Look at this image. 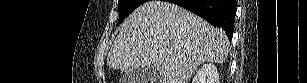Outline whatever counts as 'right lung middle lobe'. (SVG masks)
I'll use <instances>...</instances> for the list:
<instances>
[{
  "mask_svg": "<svg viewBox=\"0 0 307 83\" xmlns=\"http://www.w3.org/2000/svg\"><path fill=\"white\" fill-rule=\"evenodd\" d=\"M147 0H119L118 10L120 13L118 23L122 22L134 9L145 3Z\"/></svg>",
  "mask_w": 307,
  "mask_h": 83,
  "instance_id": "right-lung-middle-lobe-1",
  "label": "right lung middle lobe"
}]
</instances>
